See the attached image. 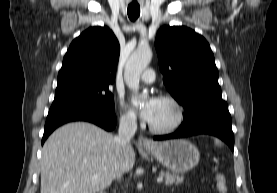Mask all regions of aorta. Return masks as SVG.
Wrapping results in <instances>:
<instances>
[{
    "label": "aorta",
    "mask_w": 277,
    "mask_h": 193,
    "mask_svg": "<svg viewBox=\"0 0 277 193\" xmlns=\"http://www.w3.org/2000/svg\"><path fill=\"white\" fill-rule=\"evenodd\" d=\"M152 59V50L149 47H140L134 51L126 62L124 80L130 90L135 93L132 104L140 105L147 94L138 95L140 76Z\"/></svg>",
    "instance_id": "obj_1"
}]
</instances>
